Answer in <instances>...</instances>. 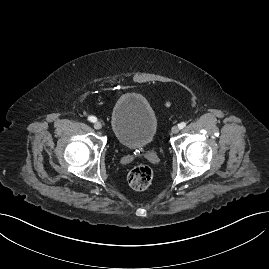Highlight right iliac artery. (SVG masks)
<instances>
[{
    "instance_id": "right-iliac-artery-1",
    "label": "right iliac artery",
    "mask_w": 269,
    "mask_h": 269,
    "mask_svg": "<svg viewBox=\"0 0 269 269\" xmlns=\"http://www.w3.org/2000/svg\"><path fill=\"white\" fill-rule=\"evenodd\" d=\"M88 120H89L90 122H96V121H97V118L94 117V116H89V117H88Z\"/></svg>"
}]
</instances>
